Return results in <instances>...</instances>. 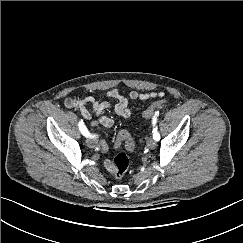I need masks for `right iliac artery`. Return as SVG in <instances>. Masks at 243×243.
<instances>
[{
  "instance_id": "right-iliac-artery-1",
  "label": "right iliac artery",
  "mask_w": 243,
  "mask_h": 243,
  "mask_svg": "<svg viewBox=\"0 0 243 243\" xmlns=\"http://www.w3.org/2000/svg\"><path fill=\"white\" fill-rule=\"evenodd\" d=\"M79 129L81 131V133L84 135V136H90V133L89 131L87 130L86 126L84 125L83 121L81 120L79 122Z\"/></svg>"
}]
</instances>
